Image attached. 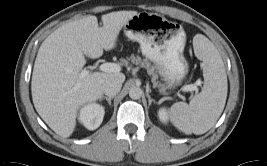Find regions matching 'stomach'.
Returning a JSON list of instances; mask_svg holds the SVG:
<instances>
[{
  "mask_svg": "<svg viewBox=\"0 0 267 166\" xmlns=\"http://www.w3.org/2000/svg\"><path fill=\"white\" fill-rule=\"evenodd\" d=\"M124 33L137 41L142 54L154 62L166 88L182 82L188 73V63L183 56L186 35L181 25L144 11L129 19Z\"/></svg>",
  "mask_w": 267,
  "mask_h": 166,
  "instance_id": "0dacf381",
  "label": "stomach"
}]
</instances>
